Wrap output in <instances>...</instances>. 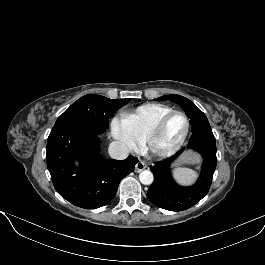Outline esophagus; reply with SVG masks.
Segmentation results:
<instances>
[{
    "label": "esophagus",
    "instance_id": "obj_1",
    "mask_svg": "<svg viewBox=\"0 0 265 265\" xmlns=\"http://www.w3.org/2000/svg\"><path fill=\"white\" fill-rule=\"evenodd\" d=\"M147 168V164L144 161H139L135 166V172L140 173Z\"/></svg>",
    "mask_w": 265,
    "mask_h": 265
}]
</instances>
